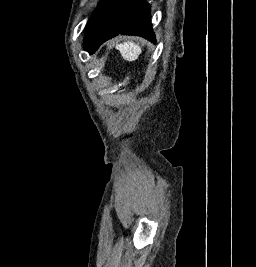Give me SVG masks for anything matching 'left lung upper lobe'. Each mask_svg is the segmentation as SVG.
I'll use <instances>...</instances> for the list:
<instances>
[{
	"label": "left lung upper lobe",
	"instance_id": "obj_1",
	"mask_svg": "<svg viewBox=\"0 0 256 267\" xmlns=\"http://www.w3.org/2000/svg\"><path fill=\"white\" fill-rule=\"evenodd\" d=\"M119 34L155 42L150 8L144 0H101L86 26L84 49L93 54L103 42Z\"/></svg>",
	"mask_w": 256,
	"mask_h": 267
}]
</instances>
